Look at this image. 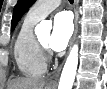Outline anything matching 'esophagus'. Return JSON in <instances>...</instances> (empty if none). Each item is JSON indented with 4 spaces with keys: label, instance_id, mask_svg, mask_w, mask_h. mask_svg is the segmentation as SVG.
<instances>
[{
    "label": "esophagus",
    "instance_id": "34e87169",
    "mask_svg": "<svg viewBox=\"0 0 107 89\" xmlns=\"http://www.w3.org/2000/svg\"><path fill=\"white\" fill-rule=\"evenodd\" d=\"M78 4H79V0H75L74 1V33H73V36L70 41L69 49H71V47L75 41L77 30H78V24H77V22H78ZM61 68H62V66H60L58 68L57 72L55 73V75L51 79H49L48 84H50V85L56 84V80L60 74Z\"/></svg>",
    "mask_w": 107,
    "mask_h": 89
}]
</instances>
